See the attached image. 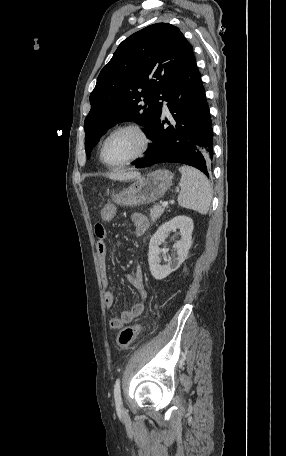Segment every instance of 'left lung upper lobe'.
<instances>
[{
    "mask_svg": "<svg viewBox=\"0 0 286 456\" xmlns=\"http://www.w3.org/2000/svg\"><path fill=\"white\" fill-rule=\"evenodd\" d=\"M193 60L191 44L171 24L150 25L121 42L90 94L91 110L84 121L87 157L119 122L141 124L148 136L159 118L160 100Z\"/></svg>",
    "mask_w": 286,
    "mask_h": 456,
    "instance_id": "obj_1",
    "label": "left lung upper lobe"
}]
</instances>
